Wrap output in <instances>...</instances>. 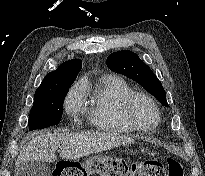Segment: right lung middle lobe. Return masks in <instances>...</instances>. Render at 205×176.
Wrapping results in <instances>:
<instances>
[{"instance_id":"right-lung-middle-lobe-1","label":"right lung middle lobe","mask_w":205,"mask_h":176,"mask_svg":"<svg viewBox=\"0 0 205 176\" xmlns=\"http://www.w3.org/2000/svg\"><path fill=\"white\" fill-rule=\"evenodd\" d=\"M68 90L69 87H62L55 92L34 97L28 121L30 131L59 124Z\"/></svg>"}]
</instances>
